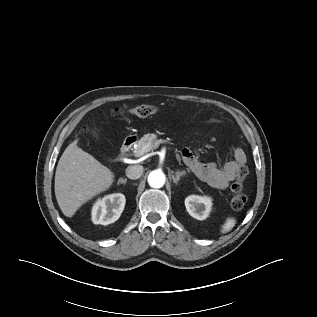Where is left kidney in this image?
Segmentation results:
<instances>
[{
    "mask_svg": "<svg viewBox=\"0 0 317 317\" xmlns=\"http://www.w3.org/2000/svg\"><path fill=\"white\" fill-rule=\"evenodd\" d=\"M212 200L208 196L190 195L185 199L187 212L197 220H205L211 211Z\"/></svg>",
    "mask_w": 317,
    "mask_h": 317,
    "instance_id": "5707ae66",
    "label": "left kidney"
}]
</instances>
